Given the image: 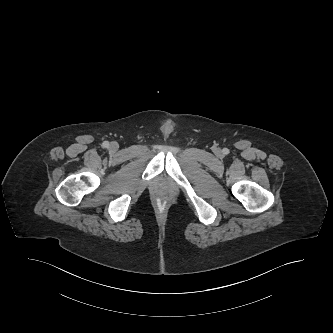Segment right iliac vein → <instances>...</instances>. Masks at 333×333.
I'll use <instances>...</instances> for the list:
<instances>
[{"label": "right iliac vein", "mask_w": 333, "mask_h": 333, "mask_svg": "<svg viewBox=\"0 0 333 333\" xmlns=\"http://www.w3.org/2000/svg\"><path fill=\"white\" fill-rule=\"evenodd\" d=\"M118 148H119V146H118V144H117L116 142H112V143L110 144V149H111L112 151H117Z\"/></svg>", "instance_id": "obj_1"}]
</instances>
